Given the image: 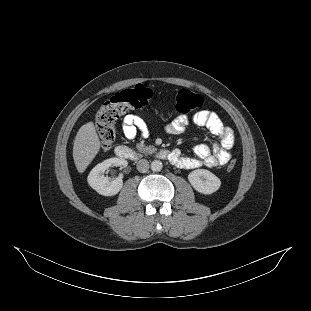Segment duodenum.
<instances>
[{
    "instance_id": "1",
    "label": "duodenum",
    "mask_w": 311,
    "mask_h": 311,
    "mask_svg": "<svg viewBox=\"0 0 311 311\" xmlns=\"http://www.w3.org/2000/svg\"><path fill=\"white\" fill-rule=\"evenodd\" d=\"M115 154L119 158L127 159V160H137L139 159V154L135 150L124 146L119 145L115 148ZM156 157L163 160H168L172 162L174 160V153L172 151L161 149L155 153Z\"/></svg>"
}]
</instances>
